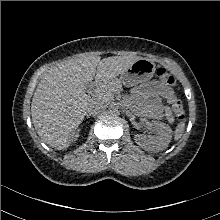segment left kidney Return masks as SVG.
<instances>
[{
	"label": "left kidney",
	"instance_id": "1",
	"mask_svg": "<svg viewBox=\"0 0 220 220\" xmlns=\"http://www.w3.org/2000/svg\"><path fill=\"white\" fill-rule=\"evenodd\" d=\"M152 125L156 130V136L140 134L136 135L135 140L143 149L159 152L166 149L170 143L172 130L169 125L162 122L155 121Z\"/></svg>",
	"mask_w": 220,
	"mask_h": 220
}]
</instances>
